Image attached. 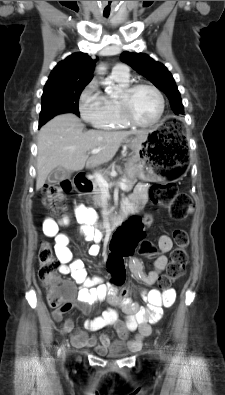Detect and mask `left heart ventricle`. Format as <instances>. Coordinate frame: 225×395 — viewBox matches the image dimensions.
Listing matches in <instances>:
<instances>
[{"mask_svg":"<svg viewBox=\"0 0 225 395\" xmlns=\"http://www.w3.org/2000/svg\"><path fill=\"white\" fill-rule=\"evenodd\" d=\"M130 111L135 120L141 123L152 122L159 112V101L153 91L147 88L137 90L130 101Z\"/></svg>","mask_w":225,"mask_h":395,"instance_id":"obj_1","label":"left heart ventricle"}]
</instances>
